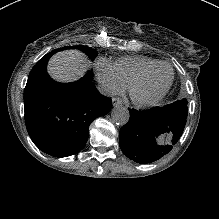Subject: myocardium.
Segmentation results:
<instances>
[{"mask_svg":"<svg viewBox=\"0 0 219 219\" xmlns=\"http://www.w3.org/2000/svg\"><path fill=\"white\" fill-rule=\"evenodd\" d=\"M164 66V67H168L170 69L171 72V77H170V81L167 85V87L154 99L151 100H140L135 96V91L136 89L146 80V78L157 68ZM174 81V72L172 67L170 66V64L165 63V62H159L154 66H151L150 68H148L147 70H145L134 82L131 83V85L129 86V90H128V95H129V99L131 101V103L141 109H147V108H151L154 107L156 105H158L160 102L163 101V99L166 97L167 93L169 92L172 84Z\"/></svg>","mask_w":219,"mask_h":219,"instance_id":"1","label":"myocardium"}]
</instances>
